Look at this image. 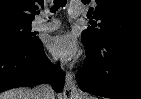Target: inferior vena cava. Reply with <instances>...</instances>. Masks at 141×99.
Masks as SVG:
<instances>
[{
  "label": "inferior vena cava",
  "instance_id": "1",
  "mask_svg": "<svg viewBox=\"0 0 141 99\" xmlns=\"http://www.w3.org/2000/svg\"><path fill=\"white\" fill-rule=\"evenodd\" d=\"M35 99H55L54 91L49 84H40L34 88Z\"/></svg>",
  "mask_w": 141,
  "mask_h": 99
}]
</instances>
